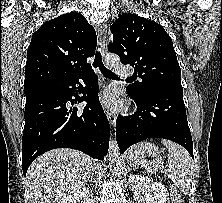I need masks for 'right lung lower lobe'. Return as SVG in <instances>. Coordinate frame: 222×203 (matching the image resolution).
Returning <instances> with one entry per match:
<instances>
[{"instance_id": "obj_1", "label": "right lung lower lobe", "mask_w": 222, "mask_h": 203, "mask_svg": "<svg viewBox=\"0 0 222 203\" xmlns=\"http://www.w3.org/2000/svg\"><path fill=\"white\" fill-rule=\"evenodd\" d=\"M78 92L83 96H77ZM25 95L24 176L36 157L56 148H73L92 158L104 159L108 152L110 126L98 98V79L92 70L79 78L45 85ZM68 101L71 104L87 101V105L78 111L76 107H69Z\"/></svg>"}]
</instances>
